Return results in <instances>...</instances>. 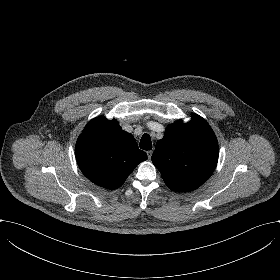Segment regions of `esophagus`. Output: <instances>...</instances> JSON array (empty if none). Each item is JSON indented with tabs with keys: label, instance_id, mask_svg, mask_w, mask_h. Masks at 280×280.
I'll return each mask as SVG.
<instances>
[{
	"label": "esophagus",
	"instance_id": "esophagus-1",
	"mask_svg": "<svg viewBox=\"0 0 280 280\" xmlns=\"http://www.w3.org/2000/svg\"><path fill=\"white\" fill-rule=\"evenodd\" d=\"M152 153H153V152H152V150H148V151H147V156H148V159H150V158H151Z\"/></svg>",
	"mask_w": 280,
	"mask_h": 280
}]
</instances>
